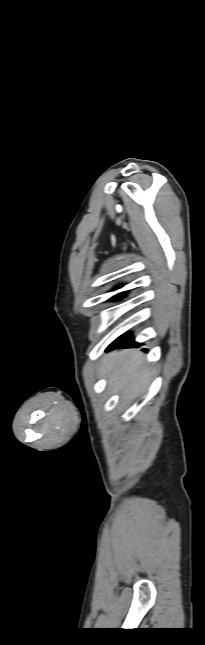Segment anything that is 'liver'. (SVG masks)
<instances>
[{
    "label": "liver",
    "mask_w": 205,
    "mask_h": 645,
    "mask_svg": "<svg viewBox=\"0 0 205 645\" xmlns=\"http://www.w3.org/2000/svg\"><path fill=\"white\" fill-rule=\"evenodd\" d=\"M100 375H107L108 384L122 397L135 399L147 388L151 372L140 350H119L106 354L99 368Z\"/></svg>",
    "instance_id": "liver-1"
}]
</instances>
